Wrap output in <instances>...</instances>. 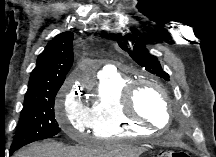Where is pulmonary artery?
Listing matches in <instances>:
<instances>
[{
	"label": "pulmonary artery",
	"mask_w": 216,
	"mask_h": 157,
	"mask_svg": "<svg viewBox=\"0 0 216 157\" xmlns=\"http://www.w3.org/2000/svg\"><path fill=\"white\" fill-rule=\"evenodd\" d=\"M115 73V68L111 65L104 66L98 73V77H103Z\"/></svg>",
	"instance_id": "e3ab8cb5"
}]
</instances>
